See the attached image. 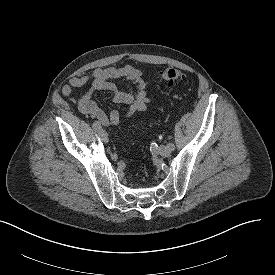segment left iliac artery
Wrapping results in <instances>:
<instances>
[{"mask_svg": "<svg viewBox=\"0 0 275 275\" xmlns=\"http://www.w3.org/2000/svg\"><path fill=\"white\" fill-rule=\"evenodd\" d=\"M167 146H169L171 148V150L175 149V145L173 143H168Z\"/></svg>", "mask_w": 275, "mask_h": 275, "instance_id": "left-iliac-artery-1", "label": "left iliac artery"}]
</instances>
